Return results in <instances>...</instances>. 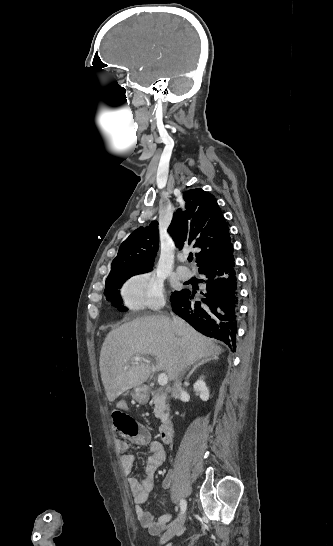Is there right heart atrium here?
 Listing matches in <instances>:
<instances>
[{
	"mask_svg": "<svg viewBox=\"0 0 333 546\" xmlns=\"http://www.w3.org/2000/svg\"><path fill=\"white\" fill-rule=\"evenodd\" d=\"M120 295L122 306L129 312L157 311L164 305L163 285L148 273L127 280Z\"/></svg>",
	"mask_w": 333,
	"mask_h": 546,
	"instance_id": "d8ad5b80",
	"label": "right heart atrium"
}]
</instances>
